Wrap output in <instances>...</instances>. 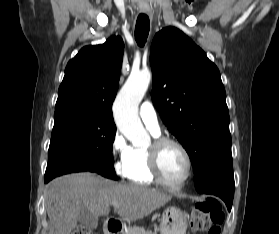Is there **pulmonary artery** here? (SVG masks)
Returning <instances> with one entry per match:
<instances>
[{
    "instance_id": "pulmonary-artery-1",
    "label": "pulmonary artery",
    "mask_w": 279,
    "mask_h": 234,
    "mask_svg": "<svg viewBox=\"0 0 279 234\" xmlns=\"http://www.w3.org/2000/svg\"><path fill=\"white\" fill-rule=\"evenodd\" d=\"M139 115L145 126L155 135L160 133V125L154 105L146 100L139 109Z\"/></svg>"
}]
</instances>
